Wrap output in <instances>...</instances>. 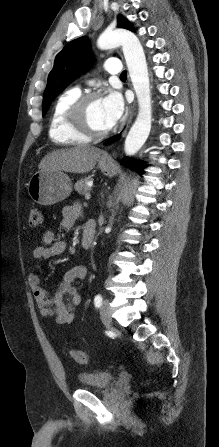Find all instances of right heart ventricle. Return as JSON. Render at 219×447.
<instances>
[{
  "label": "right heart ventricle",
  "instance_id": "obj_1",
  "mask_svg": "<svg viewBox=\"0 0 219 447\" xmlns=\"http://www.w3.org/2000/svg\"><path fill=\"white\" fill-rule=\"evenodd\" d=\"M77 88L63 92L55 101L49 120V137L59 145L84 144L89 138L78 133L69 123L68 111L74 100L79 97Z\"/></svg>",
  "mask_w": 219,
  "mask_h": 447
}]
</instances>
